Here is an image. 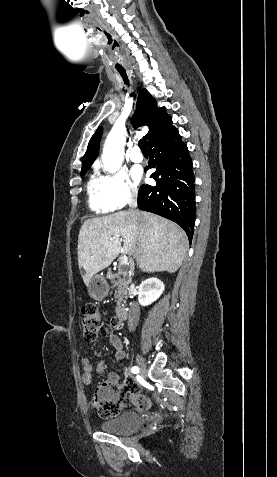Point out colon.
<instances>
[{
	"label": "colon",
	"mask_w": 277,
	"mask_h": 477,
	"mask_svg": "<svg viewBox=\"0 0 277 477\" xmlns=\"http://www.w3.org/2000/svg\"><path fill=\"white\" fill-rule=\"evenodd\" d=\"M81 324L85 341L94 342L103 326L101 314L96 305L87 304L83 307ZM131 404L141 411L151 408L149 397L141 394L138 386L131 381L123 384L106 381L96 389L93 398L95 410L104 418L118 415L123 407Z\"/></svg>",
	"instance_id": "5ec220e1"
}]
</instances>
